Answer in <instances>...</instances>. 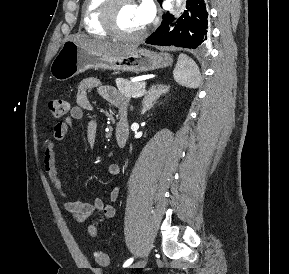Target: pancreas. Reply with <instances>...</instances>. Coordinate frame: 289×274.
<instances>
[{
    "mask_svg": "<svg viewBox=\"0 0 289 274\" xmlns=\"http://www.w3.org/2000/svg\"><path fill=\"white\" fill-rule=\"evenodd\" d=\"M145 82H130L128 79H118L116 80V86L121 95L126 98H131L137 92L145 88Z\"/></svg>",
    "mask_w": 289,
    "mask_h": 274,
    "instance_id": "pancreas-1",
    "label": "pancreas"
}]
</instances>
